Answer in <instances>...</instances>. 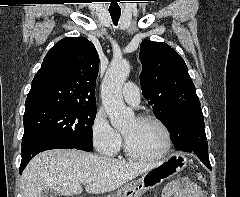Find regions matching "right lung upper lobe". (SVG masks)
Listing matches in <instances>:
<instances>
[{"label": "right lung upper lobe", "instance_id": "obj_1", "mask_svg": "<svg viewBox=\"0 0 240 197\" xmlns=\"http://www.w3.org/2000/svg\"><path fill=\"white\" fill-rule=\"evenodd\" d=\"M99 57L92 42L66 37L46 54L32 81L25 111L46 106L96 107Z\"/></svg>", "mask_w": 240, "mask_h": 197}]
</instances>
